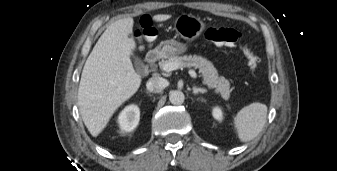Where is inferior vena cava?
<instances>
[{
    "label": "inferior vena cava",
    "instance_id": "inferior-vena-cava-1",
    "mask_svg": "<svg viewBox=\"0 0 337 171\" xmlns=\"http://www.w3.org/2000/svg\"><path fill=\"white\" fill-rule=\"evenodd\" d=\"M166 86V80L162 77H152L147 81L146 87L150 92L159 93Z\"/></svg>",
    "mask_w": 337,
    "mask_h": 171
}]
</instances>
